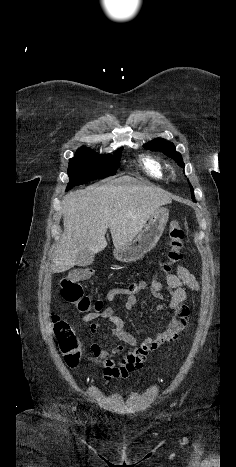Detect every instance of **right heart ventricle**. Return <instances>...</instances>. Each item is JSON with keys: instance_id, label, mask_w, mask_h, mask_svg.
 I'll list each match as a JSON object with an SVG mask.
<instances>
[{"instance_id": "right-heart-ventricle-1", "label": "right heart ventricle", "mask_w": 236, "mask_h": 467, "mask_svg": "<svg viewBox=\"0 0 236 467\" xmlns=\"http://www.w3.org/2000/svg\"><path fill=\"white\" fill-rule=\"evenodd\" d=\"M142 165L145 171L152 177L160 179L164 175V167L156 158L145 156L142 158Z\"/></svg>"}]
</instances>
